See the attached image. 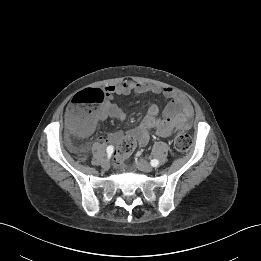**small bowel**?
<instances>
[{
	"instance_id": "1",
	"label": "small bowel",
	"mask_w": 261,
	"mask_h": 261,
	"mask_svg": "<svg viewBox=\"0 0 261 261\" xmlns=\"http://www.w3.org/2000/svg\"><path fill=\"white\" fill-rule=\"evenodd\" d=\"M105 93V100L95 110L93 124L86 134H91L100 122L109 118L119 121L125 119L124 110L114 102L115 96H126L132 93L136 95L161 94L166 100V105L162 110L154 103L149 104L145 117L137 127L127 132H113L101 137L100 140L105 143L117 144L129 137L141 147L148 143L152 131L157 136L166 138L172 136L178 127H190L193 108L186 97L172 88L126 80L107 86ZM75 150L82 151L83 148H75Z\"/></svg>"
}]
</instances>
